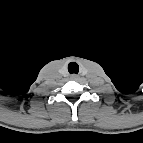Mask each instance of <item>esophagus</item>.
<instances>
[{
    "instance_id": "34e87169",
    "label": "esophagus",
    "mask_w": 143,
    "mask_h": 143,
    "mask_svg": "<svg viewBox=\"0 0 143 143\" xmlns=\"http://www.w3.org/2000/svg\"><path fill=\"white\" fill-rule=\"evenodd\" d=\"M78 77H79L78 75L72 74L70 78H71L72 80H76V79H78Z\"/></svg>"
}]
</instances>
